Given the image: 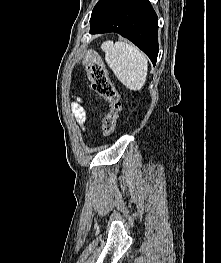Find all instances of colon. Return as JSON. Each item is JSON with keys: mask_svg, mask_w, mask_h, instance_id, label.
Instances as JSON below:
<instances>
[{"mask_svg": "<svg viewBox=\"0 0 221 263\" xmlns=\"http://www.w3.org/2000/svg\"><path fill=\"white\" fill-rule=\"evenodd\" d=\"M85 68L93 91L108 105L103 121V135L108 137L116 129L121 112L119 93L114 86L103 62L93 53H88Z\"/></svg>", "mask_w": 221, "mask_h": 263, "instance_id": "obj_1", "label": "colon"}]
</instances>
